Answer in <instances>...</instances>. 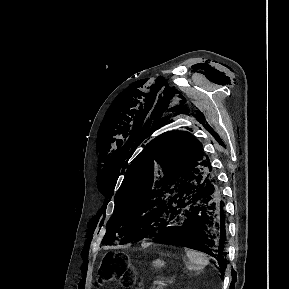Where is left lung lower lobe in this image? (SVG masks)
<instances>
[{
	"mask_svg": "<svg viewBox=\"0 0 289 289\" xmlns=\"http://www.w3.org/2000/svg\"><path fill=\"white\" fill-rule=\"evenodd\" d=\"M168 216L147 237L188 240L186 247L217 259L223 275L226 267L224 202L212 169L200 180L183 186L168 207Z\"/></svg>",
	"mask_w": 289,
	"mask_h": 289,
	"instance_id": "obj_1",
	"label": "left lung lower lobe"
}]
</instances>
